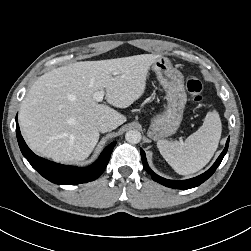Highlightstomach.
<instances>
[{
    "mask_svg": "<svg viewBox=\"0 0 251 251\" xmlns=\"http://www.w3.org/2000/svg\"><path fill=\"white\" fill-rule=\"evenodd\" d=\"M151 68L166 93L167 101L165 110L151 119L148 131L150 138L159 140L174 134L179 128L187 102V94L183 74L173 67L168 58H158Z\"/></svg>",
    "mask_w": 251,
    "mask_h": 251,
    "instance_id": "stomach-1",
    "label": "stomach"
}]
</instances>
